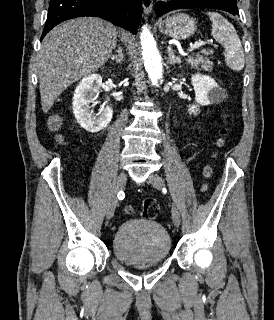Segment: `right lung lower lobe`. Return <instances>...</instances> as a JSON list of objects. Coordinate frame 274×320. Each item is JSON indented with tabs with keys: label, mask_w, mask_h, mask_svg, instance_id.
Here are the masks:
<instances>
[{
	"label": "right lung lower lobe",
	"mask_w": 274,
	"mask_h": 320,
	"mask_svg": "<svg viewBox=\"0 0 274 320\" xmlns=\"http://www.w3.org/2000/svg\"><path fill=\"white\" fill-rule=\"evenodd\" d=\"M141 14V0H50L41 40L59 23L82 16L100 17L136 34Z\"/></svg>",
	"instance_id": "1"
}]
</instances>
